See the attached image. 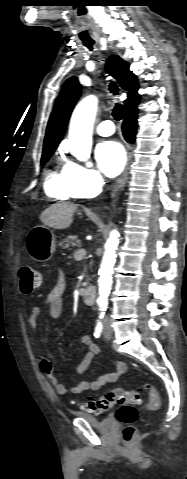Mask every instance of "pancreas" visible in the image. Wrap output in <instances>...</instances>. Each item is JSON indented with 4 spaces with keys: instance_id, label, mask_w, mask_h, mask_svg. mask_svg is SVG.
<instances>
[{
    "instance_id": "pancreas-1",
    "label": "pancreas",
    "mask_w": 187,
    "mask_h": 479,
    "mask_svg": "<svg viewBox=\"0 0 187 479\" xmlns=\"http://www.w3.org/2000/svg\"><path fill=\"white\" fill-rule=\"evenodd\" d=\"M59 246H61L63 248H70V247H75V246L80 247L81 242L76 235H71V236H68L67 238H65L64 240H62L59 243ZM89 280L90 279L88 278V281Z\"/></svg>"
}]
</instances>
